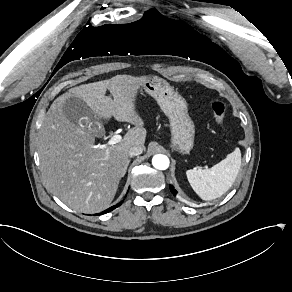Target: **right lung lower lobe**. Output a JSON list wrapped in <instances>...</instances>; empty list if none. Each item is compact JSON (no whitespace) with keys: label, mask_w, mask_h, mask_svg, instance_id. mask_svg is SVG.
<instances>
[{"label":"right lung lower lobe","mask_w":292,"mask_h":292,"mask_svg":"<svg viewBox=\"0 0 292 292\" xmlns=\"http://www.w3.org/2000/svg\"><path fill=\"white\" fill-rule=\"evenodd\" d=\"M121 203H122V202L118 203V204L115 205V206H112V207L108 208V209L105 211V213H108V212L112 211V210L115 209L116 207L120 206Z\"/></svg>","instance_id":"98d812e1"}]
</instances>
